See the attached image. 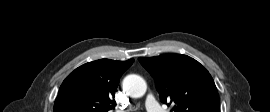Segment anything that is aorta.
I'll return each mask as SVG.
<instances>
[{
    "mask_svg": "<svg viewBox=\"0 0 270 112\" xmlns=\"http://www.w3.org/2000/svg\"><path fill=\"white\" fill-rule=\"evenodd\" d=\"M122 88L130 97L139 98L145 94L147 85L141 76L131 74L123 79Z\"/></svg>",
    "mask_w": 270,
    "mask_h": 112,
    "instance_id": "762f6f07",
    "label": "aorta"
}]
</instances>
